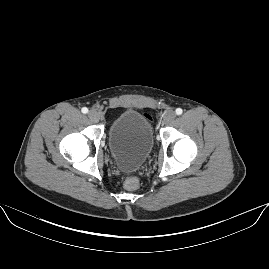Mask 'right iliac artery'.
Masks as SVG:
<instances>
[{
  "label": "right iliac artery",
  "instance_id": "1",
  "mask_svg": "<svg viewBox=\"0 0 269 269\" xmlns=\"http://www.w3.org/2000/svg\"><path fill=\"white\" fill-rule=\"evenodd\" d=\"M81 111H82V113H84V114L88 113V109H87L86 107H83Z\"/></svg>",
  "mask_w": 269,
  "mask_h": 269
}]
</instances>
